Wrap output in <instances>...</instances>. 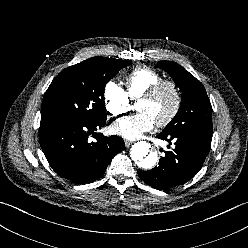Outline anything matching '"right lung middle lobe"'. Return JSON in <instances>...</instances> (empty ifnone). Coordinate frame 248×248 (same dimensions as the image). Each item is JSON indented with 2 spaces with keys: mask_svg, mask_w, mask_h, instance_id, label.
<instances>
[{
  "mask_svg": "<svg viewBox=\"0 0 248 248\" xmlns=\"http://www.w3.org/2000/svg\"><path fill=\"white\" fill-rule=\"evenodd\" d=\"M131 63L98 56L62 70L44 95L41 118L105 121V85Z\"/></svg>",
  "mask_w": 248,
  "mask_h": 248,
  "instance_id": "right-lung-middle-lobe-1",
  "label": "right lung middle lobe"
}]
</instances>
